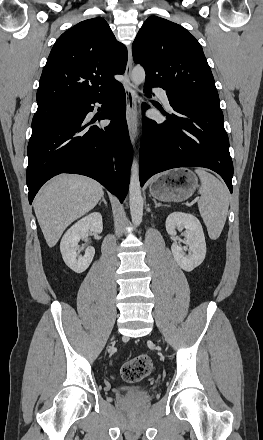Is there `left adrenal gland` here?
<instances>
[{
	"label": "left adrenal gland",
	"mask_w": 263,
	"mask_h": 440,
	"mask_svg": "<svg viewBox=\"0 0 263 440\" xmlns=\"http://www.w3.org/2000/svg\"><path fill=\"white\" fill-rule=\"evenodd\" d=\"M154 204H155V208L160 207V206H167V205H163L161 203H157V201L155 199H153Z\"/></svg>",
	"instance_id": "obj_1"
}]
</instances>
